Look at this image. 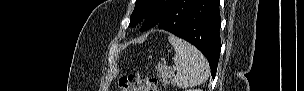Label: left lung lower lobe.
Wrapping results in <instances>:
<instances>
[{
	"label": "left lung lower lobe",
	"mask_w": 304,
	"mask_h": 91,
	"mask_svg": "<svg viewBox=\"0 0 304 91\" xmlns=\"http://www.w3.org/2000/svg\"><path fill=\"white\" fill-rule=\"evenodd\" d=\"M157 25L198 48L215 78L221 50L219 0H175Z\"/></svg>",
	"instance_id": "left-lung-lower-lobe-1"
}]
</instances>
